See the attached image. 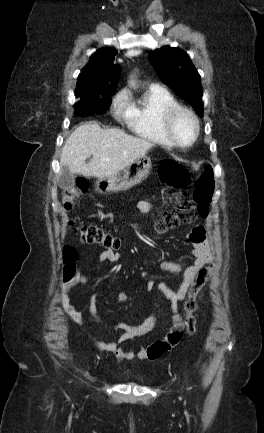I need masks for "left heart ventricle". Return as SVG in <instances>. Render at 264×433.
I'll list each match as a JSON object with an SVG mask.
<instances>
[{
	"label": "left heart ventricle",
	"instance_id": "b2bd125f",
	"mask_svg": "<svg viewBox=\"0 0 264 433\" xmlns=\"http://www.w3.org/2000/svg\"><path fill=\"white\" fill-rule=\"evenodd\" d=\"M173 133L181 143H189L193 138L195 126L187 114H180L173 123Z\"/></svg>",
	"mask_w": 264,
	"mask_h": 433
}]
</instances>
